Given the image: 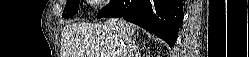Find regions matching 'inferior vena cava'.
Masks as SVG:
<instances>
[{
  "instance_id": "602c4592",
  "label": "inferior vena cava",
  "mask_w": 249,
  "mask_h": 57,
  "mask_svg": "<svg viewBox=\"0 0 249 57\" xmlns=\"http://www.w3.org/2000/svg\"><path fill=\"white\" fill-rule=\"evenodd\" d=\"M124 45V57H133L135 52V46L130 44V40L126 37L123 38ZM138 57V56H136Z\"/></svg>"
}]
</instances>
